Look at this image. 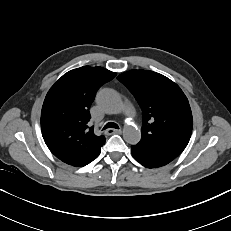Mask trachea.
I'll return each mask as SVG.
<instances>
[{"instance_id": "trachea-1", "label": "trachea", "mask_w": 231, "mask_h": 231, "mask_svg": "<svg viewBox=\"0 0 231 231\" xmlns=\"http://www.w3.org/2000/svg\"><path fill=\"white\" fill-rule=\"evenodd\" d=\"M108 128H115V129H119V126L116 123L113 122H109L107 123L102 130H106Z\"/></svg>"}]
</instances>
